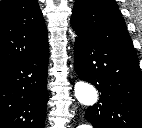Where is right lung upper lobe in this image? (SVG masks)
<instances>
[{
    "label": "right lung upper lobe",
    "mask_w": 142,
    "mask_h": 128,
    "mask_svg": "<svg viewBox=\"0 0 142 128\" xmlns=\"http://www.w3.org/2000/svg\"><path fill=\"white\" fill-rule=\"evenodd\" d=\"M48 34L37 0L0 3V71L41 50Z\"/></svg>",
    "instance_id": "cb5924a9"
}]
</instances>
